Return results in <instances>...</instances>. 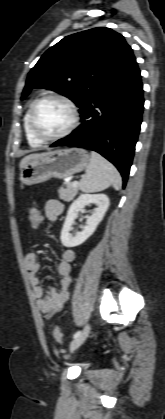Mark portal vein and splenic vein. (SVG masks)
I'll list each match as a JSON object with an SVG mask.
<instances>
[{"instance_id": "obj_1", "label": "portal vein and splenic vein", "mask_w": 165, "mask_h": 419, "mask_svg": "<svg viewBox=\"0 0 165 419\" xmlns=\"http://www.w3.org/2000/svg\"><path fill=\"white\" fill-rule=\"evenodd\" d=\"M72 184L73 186H78L79 183L77 181H74Z\"/></svg>"}]
</instances>
